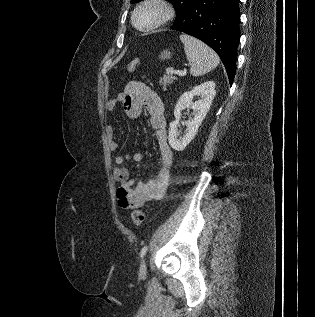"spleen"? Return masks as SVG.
I'll return each mask as SVG.
<instances>
[{"label":"spleen","instance_id":"obj_1","mask_svg":"<svg viewBox=\"0 0 315 317\" xmlns=\"http://www.w3.org/2000/svg\"><path fill=\"white\" fill-rule=\"evenodd\" d=\"M186 58L189 61L192 76H202L218 66V55L210 47L195 37L181 34Z\"/></svg>","mask_w":315,"mask_h":317}]
</instances>
